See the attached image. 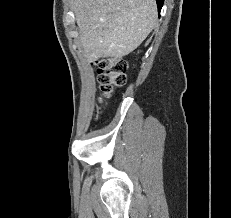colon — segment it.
Instances as JSON below:
<instances>
[{"instance_id":"5ec220e1","label":"colon","mask_w":231,"mask_h":218,"mask_svg":"<svg viewBox=\"0 0 231 218\" xmlns=\"http://www.w3.org/2000/svg\"><path fill=\"white\" fill-rule=\"evenodd\" d=\"M103 98H108L116 87L126 82L127 62L120 57H104L94 61Z\"/></svg>"}]
</instances>
